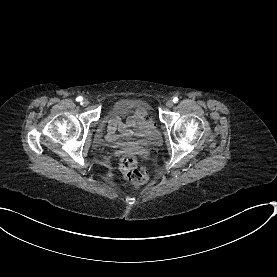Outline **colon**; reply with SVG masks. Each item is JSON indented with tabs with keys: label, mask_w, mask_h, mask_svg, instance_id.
<instances>
[{
	"label": "colon",
	"mask_w": 277,
	"mask_h": 277,
	"mask_svg": "<svg viewBox=\"0 0 277 277\" xmlns=\"http://www.w3.org/2000/svg\"><path fill=\"white\" fill-rule=\"evenodd\" d=\"M117 161L124 176L130 184H141L145 181L147 172L140 162V154L136 150H121L117 154Z\"/></svg>",
	"instance_id": "obj_1"
}]
</instances>
